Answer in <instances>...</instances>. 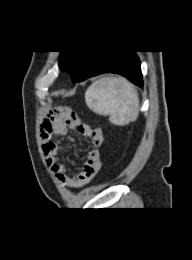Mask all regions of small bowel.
Returning a JSON list of instances; mask_svg holds the SVG:
<instances>
[{"instance_id":"c3829d8e","label":"small bowel","mask_w":192,"mask_h":260,"mask_svg":"<svg viewBox=\"0 0 192 260\" xmlns=\"http://www.w3.org/2000/svg\"><path fill=\"white\" fill-rule=\"evenodd\" d=\"M66 115H54L44 120L41 129L42 148L46 162L57 180L65 187L80 189L90 183L100 168L99 147L103 143V133L81 121L79 116L69 110ZM76 130L78 134L88 137L96 147L88 152L83 167L69 174L66 167L60 162L61 147L55 140L56 136H64L68 130Z\"/></svg>"}]
</instances>
